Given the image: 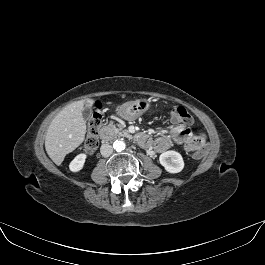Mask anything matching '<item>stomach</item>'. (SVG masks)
<instances>
[{
  "label": "stomach",
  "instance_id": "0dacf381",
  "mask_svg": "<svg viewBox=\"0 0 265 265\" xmlns=\"http://www.w3.org/2000/svg\"><path fill=\"white\" fill-rule=\"evenodd\" d=\"M149 108V100L128 101L118 107L117 114L125 120L132 121L142 116Z\"/></svg>",
  "mask_w": 265,
  "mask_h": 265
}]
</instances>
